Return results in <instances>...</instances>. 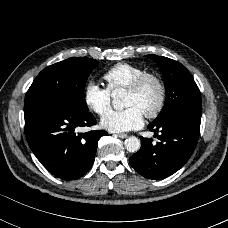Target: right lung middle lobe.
Returning a JSON list of instances; mask_svg holds the SVG:
<instances>
[{"instance_id": "obj_1", "label": "right lung middle lobe", "mask_w": 228, "mask_h": 228, "mask_svg": "<svg viewBox=\"0 0 228 228\" xmlns=\"http://www.w3.org/2000/svg\"><path fill=\"white\" fill-rule=\"evenodd\" d=\"M98 62L89 58L72 57L42 70L25 96V103L41 99L56 100L87 112L84 87Z\"/></svg>"}]
</instances>
